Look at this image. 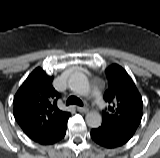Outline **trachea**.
<instances>
[{"instance_id": "1", "label": "trachea", "mask_w": 160, "mask_h": 158, "mask_svg": "<svg viewBox=\"0 0 160 158\" xmlns=\"http://www.w3.org/2000/svg\"><path fill=\"white\" fill-rule=\"evenodd\" d=\"M71 104H76V105H79V106H83V103L82 101L75 97V96H70L67 101H66V105H71Z\"/></svg>"}]
</instances>
